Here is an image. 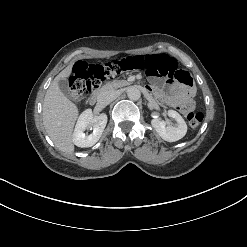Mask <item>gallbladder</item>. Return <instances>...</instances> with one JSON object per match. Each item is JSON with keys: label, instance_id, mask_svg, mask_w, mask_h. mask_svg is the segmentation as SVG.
Segmentation results:
<instances>
[{"label": "gallbladder", "instance_id": "gallbladder-1", "mask_svg": "<svg viewBox=\"0 0 247 247\" xmlns=\"http://www.w3.org/2000/svg\"><path fill=\"white\" fill-rule=\"evenodd\" d=\"M58 86L61 92L68 98L74 101H80L82 99L81 96L73 95L68 84V80L66 78H62L58 81Z\"/></svg>", "mask_w": 247, "mask_h": 247}]
</instances>
